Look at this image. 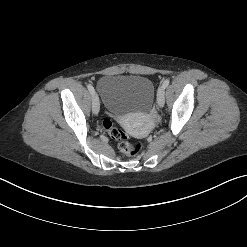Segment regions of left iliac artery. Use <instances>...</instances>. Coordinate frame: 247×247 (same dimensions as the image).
Segmentation results:
<instances>
[{
    "mask_svg": "<svg viewBox=\"0 0 247 247\" xmlns=\"http://www.w3.org/2000/svg\"><path fill=\"white\" fill-rule=\"evenodd\" d=\"M169 83H170V80H169V79H166V80L163 82L162 87L165 89L166 87H168Z\"/></svg>",
    "mask_w": 247,
    "mask_h": 247,
    "instance_id": "left-iliac-artery-1",
    "label": "left iliac artery"
}]
</instances>
